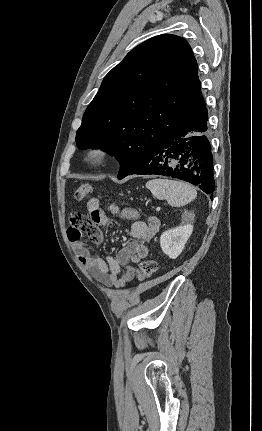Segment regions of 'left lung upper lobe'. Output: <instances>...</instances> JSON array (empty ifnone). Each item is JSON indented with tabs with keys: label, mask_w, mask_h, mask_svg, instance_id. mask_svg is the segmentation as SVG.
<instances>
[{
	"label": "left lung upper lobe",
	"mask_w": 262,
	"mask_h": 431,
	"mask_svg": "<svg viewBox=\"0 0 262 431\" xmlns=\"http://www.w3.org/2000/svg\"><path fill=\"white\" fill-rule=\"evenodd\" d=\"M204 108L191 47L181 37L159 35L131 50L105 76L83 116L77 146L114 155L122 179Z\"/></svg>",
	"instance_id": "obj_1"
}]
</instances>
